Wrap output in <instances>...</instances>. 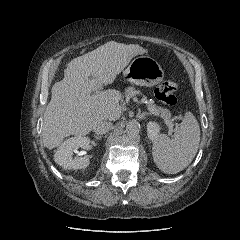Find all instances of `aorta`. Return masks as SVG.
I'll return each instance as SVG.
<instances>
[{"mask_svg":"<svg viewBox=\"0 0 240 240\" xmlns=\"http://www.w3.org/2000/svg\"><path fill=\"white\" fill-rule=\"evenodd\" d=\"M140 131V124L136 120H131L126 124V133L128 135H137Z\"/></svg>","mask_w":240,"mask_h":240,"instance_id":"obj_1","label":"aorta"}]
</instances>
